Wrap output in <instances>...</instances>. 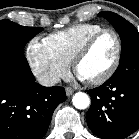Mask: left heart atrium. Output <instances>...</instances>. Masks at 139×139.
Returning <instances> with one entry per match:
<instances>
[{"label":"left heart atrium","mask_w":139,"mask_h":139,"mask_svg":"<svg viewBox=\"0 0 139 139\" xmlns=\"http://www.w3.org/2000/svg\"><path fill=\"white\" fill-rule=\"evenodd\" d=\"M79 77L81 78V79H84L83 77H81L80 75H79Z\"/></svg>","instance_id":"left-heart-atrium-1"}]
</instances>
